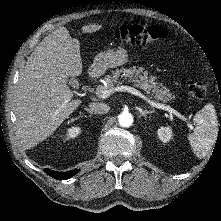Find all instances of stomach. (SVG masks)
<instances>
[{
    "instance_id": "0dacf381",
    "label": "stomach",
    "mask_w": 221,
    "mask_h": 221,
    "mask_svg": "<svg viewBox=\"0 0 221 221\" xmlns=\"http://www.w3.org/2000/svg\"><path fill=\"white\" fill-rule=\"evenodd\" d=\"M128 59L127 50L119 47L117 50H107L100 52L94 58L93 64L90 66V73L94 76H100L105 73L108 68H115L126 63Z\"/></svg>"
}]
</instances>
